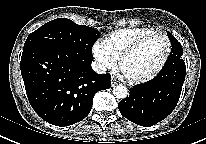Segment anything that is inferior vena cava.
<instances>
[{
    "label": "inferior vena cava",
    "mask_w": 206,
    "mask_h": 144,
    "mask_svg": "<svg viewBox=\"0 0 206 144\" xmlns=\"http://www.w3.org/2000/svg\"><path fill=\"white\" fill-rule=\"evenodd\" d=\"M91 66L92 69L98 74H104L106 72V67L98 62H93Z\"/></svg>",
    "instance_id": "obj_1"
}]
</instances>
